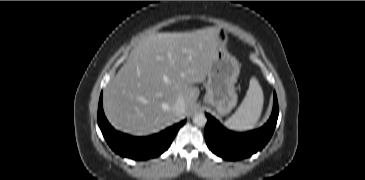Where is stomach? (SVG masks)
<instances>
[{"label":"stomach","mask_w":365,"mask_h":180,"mask_svg":"<svg viewBox=\"0 0 365 180\" xmlns=\"http://www.w3.org/2000/svg\"><path fill=\"white\" fill-rule=\"evenodd\" d=\"M228 37L224 29H218V46L212 58L206 85L204 102L220 115L228 114L237 104L235 83L240 73L237 59L226 49Z\"/></svg>","instance_id":"1"}]
</instances>
